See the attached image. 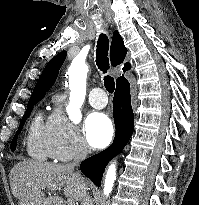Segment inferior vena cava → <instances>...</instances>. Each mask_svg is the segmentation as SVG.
<instances>
[{
	"label": "inferior vena cava",
	"instance_id": "inferior-vena-cava-1",
	"mask_svg": "<svg viewBox=\"0 0 199 205\" xmlns=\"http://www.w3.org/2000/svg\"><path fill=\"white\" fill-rule=\"evenodd\" d=\"M89 152L88 145L85 141H81L72 163L67 164L69 170H74L75 167L79 166L80 162L83 161ZM79 174V173H78ZM81 205H93L90 196L86 193L81 201Z\"/></svg>",
	"mask_w": 199,
	"mask_h": 205
}]
</instances>
